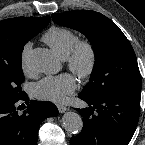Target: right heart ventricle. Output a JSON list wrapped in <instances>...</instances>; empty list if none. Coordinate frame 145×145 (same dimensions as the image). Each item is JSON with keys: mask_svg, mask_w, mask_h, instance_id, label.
Masks as SVG:
<instances>
[{"mask_svg": "<svg viewBox=\"0 0 145 145\" xmlns=\"http://www.w3.org/2000/svg\"><path fill=\"white\" fill-rule=\"evenodd\" d=\"M43 41L62 58H66L78 41V36L72 30L53 26L43 35Z\"/></svg>", "mask_w": 145, "mask_h": 145, "instance_id": "right-heart-ventricle-1", "label": "right heart ventricle"}]
</instances>
